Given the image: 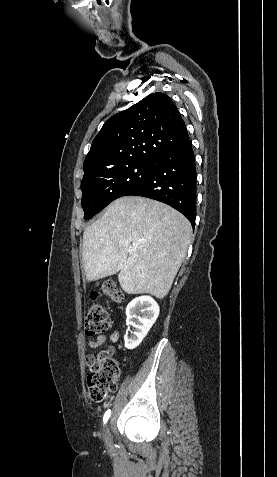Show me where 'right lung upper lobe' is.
Wrapping results in <instances>:
<instances>
[{
	"mask_svg": "<svg viewBox=\"0 0 277 477\" xmlns=\"http://www.w3.org/2000/svg\"><path fill=\"white\" fill-rule=\"evenodd\" d=\"M189 140L171 98L153 93L111 118L97 134L84 161V171L130 162H152Z\"/></svg>",
	"mask_w": 277,
	"mask_h": 477,
	"instance_id": "obj_1",
	"label": "right lung upper lobe"
}]
</instances>
